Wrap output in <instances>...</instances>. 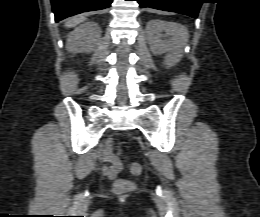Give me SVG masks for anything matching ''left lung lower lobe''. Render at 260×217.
I'll use <instances>...</instances> for the list:
<instances>
[{"mask_svg": "<svg viewBox=\"0 0 260 217\" xmlns=\"http://www.w3.org/2000/svg\"><path fill=\"white\" fill-rule=\"evenodd\" d=\"M140 7L176 12L196 18L203 0H136Z\"/></svg>", "mask_w": 260, "mask_h": 217, "instance_id": "0a47b994", "label": "left lung lower lobe"}]
</instances>
